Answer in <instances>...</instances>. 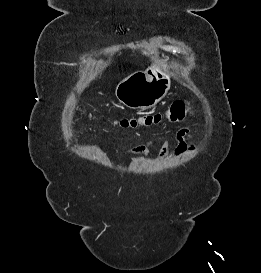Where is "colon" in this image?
<instances>
[{"label":"colon","mask_w":261,"mask_h":273,"mask_svg":"<svg viewBox=\"0 0 261 273\" xmlns=\"http://www.w3.org/2000/svg\"><path fill=\"white\" fill-rule=\"evenodd\" d=\"M192 111L191 104L186 101L173 102L164 112L150 113L139 118H123L119 125L123 128L136 126H155L163 121L180 122Z\"/></svg>","instance_id":"1"}]
</instances>
